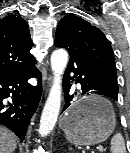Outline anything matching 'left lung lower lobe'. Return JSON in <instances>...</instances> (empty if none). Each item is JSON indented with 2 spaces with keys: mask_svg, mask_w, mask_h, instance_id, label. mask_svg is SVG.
<instances>
[{
  "mask_svg": "<svg viewBox=\"0 0 130 153\" xmlns=\"http://www.w3.org/2000/svg\"><path fill=\"white\" fill-rule=\"evenodd\" d=\"M55 46L64 47L70 53V61L63 78V90L65 95L63 110L71 105L70 101L73 95H69V90L71 88L70 81L74 78H76L75 83L81 84V95L98 94L117 101L118 90L109 81L101 68L86 59L75 56L61 41H55Z\"/></svg>",
  "mask_w": 130,
  "mask_h": 153,
  "instance_id": "0a47b994",
  "label": "left lung lower lobe"
}]
</instances>
